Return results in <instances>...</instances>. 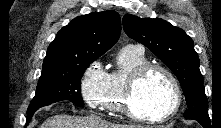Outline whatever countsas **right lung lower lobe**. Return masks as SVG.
I'll list each match as a JSON object with an SVG mask.
<instances>
[{
    "instance_id": "obj_1",
    "label": "right lung lower lobe",
    "mask_w": 221,
    "mask_h": 128,
    "mask_svg": "<svg viewBox=\"0 0 221 128\" xmlns=\"http://www.w3.org/2000/svg\"><path fill=\"white\" fill-rule=\"evenodd\" d=\"M35 112H36V111L28 113V116H27V118H26V124H29V122H30V120H31V118H32V115H33Z\"/></svg>"
}]
</instances>
